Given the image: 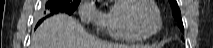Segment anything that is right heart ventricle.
Here are the masks:
<instances>
[{
  "label": "right heart ventricle",
  "mask_w": 213,
  "mask_h": 48,
  "mask_svg": "<svg viewBox=\"0 0 213 48\" xmlns=\"http://www.w3.org/2000/svg\"><path fill=\"white\" fill-rule=\"evenodd\" d=\"M129 0H118L108 10L102 13L100 30L111 39L124 42H140L145 38L134 34L123 19V7Z\"/></svg>",
  "instance_id": "obj_1"
}]
</instances>
